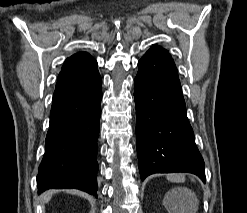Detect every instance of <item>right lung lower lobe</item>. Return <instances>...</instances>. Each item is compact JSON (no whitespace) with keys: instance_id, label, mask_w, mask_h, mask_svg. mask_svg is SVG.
<instances>
[{"instance_id":"1","label":"right lung lower lobe","mask_w":247,"mask_h":213,"mask_svg":"<svg viewBox=\"0 0 247 213\" xmlns=\"http://www.w3.org/2000/svg\"><path fill=\"white\" fill-rule=\"evenodd\" d=\"M101 83L97 66L58 79L37 175L39 193L50 188H76L97 196Z\"/></svg>"}]
</instances>
